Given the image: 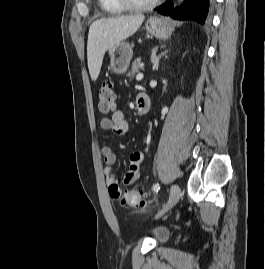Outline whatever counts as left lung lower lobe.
Returning <instances> with one entry per match:
<instances>
[{
	"label": "left lung lower lobe",
	"mask_w": 265,
	"mask_h": 269,
	"mask_svg": "<svg viewBox=\"0 0 265 269\" xmlns=\"http://www.w3.org/2000/svg\"><path fill=\"white\" fill-rule=\"evenodd\" d=\"M214 0H185L179 8H173L172 1L158 9L162 15H170L177 20H191L199 24H205L209 19Z\"/></svg>",
	"instance_id": "0a47b994"
}]
</instances>
